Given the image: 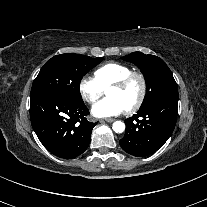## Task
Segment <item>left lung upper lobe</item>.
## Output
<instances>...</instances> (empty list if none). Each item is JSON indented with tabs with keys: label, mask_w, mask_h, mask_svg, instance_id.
<instances>
[{
	"label": "left lung upper lobe",
	"mask_w": 207,
	"mask_h": 207,
	"mask_svg": "<svg viewBox=\"0 0 207 207\" xmlns=\"http://www.w3.org/2000/svg\"><path fill=\"white\" fill-rule=\"evenodd\" d=\"M140 68L147 91L140 109L163 97H178V86L166 63L157 56L133 52L122 58Z\"/></svg>",
	"instance_id": "left-lung-upper-lobe-1"
}]
</instances>
